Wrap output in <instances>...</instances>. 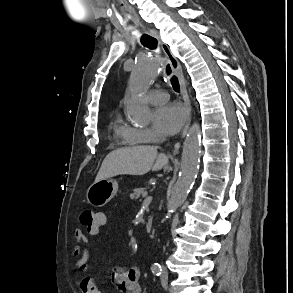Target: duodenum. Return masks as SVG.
I'll list each match as a JSON object with an SVG mask.
<instances>
[{"label": "duodenum", "mask_w": 293, "mask_h": 293, "mask_svg": "<svg viewBox=\"0 0 293 293\" xmlns=\"http://www.w3.org/2000/svg\"><path fill=\"white\" fill-rule=\"evenodd\" d=\"M146 230H147V232H151L153 230V220L152 219H149L146 222Z\"/></svg>", "instance_id": "1"}]
</instances>
